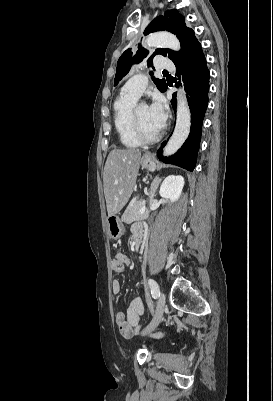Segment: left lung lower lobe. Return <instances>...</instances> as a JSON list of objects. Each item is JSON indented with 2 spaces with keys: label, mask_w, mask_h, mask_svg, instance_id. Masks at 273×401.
<instances>
[{
  "label": "left lung lower lobe",
  "mask_w": 273,
  "mask_h": 401,
  "mask_svg": "<svg viewBox=\"0 0 273 401\" xmlns=\"http://www.w3.org/2000/svg\"><path fill=\"white\" fill-rule=\"evenodd\" d=\"M173 62L178 70L177 75L180 76L182 74L183 77L191 111V130L181 149L174 155L164 158L160 149L157 151V156L165 163L174 164L188 171H193L200 147L204 114L208 105L210 72L206 66V59L202 52L201 44L198 41L182 52ZM171 103L173 109L176 110V93L173 94ZM164 145L165 143L161 146L163 147Z\"/></svg>",
  "instance_id": "obj_1"
}]
</instances>
